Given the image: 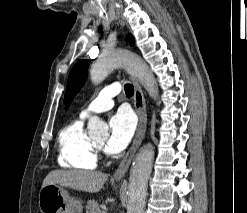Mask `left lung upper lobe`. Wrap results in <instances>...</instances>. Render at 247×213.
Returning <instances> with one entry per match:
<instances>
[{
    "label": "left lung upper lobe",
    "mask_w": 247,
    "mask_h": 213,
    "mask_svg": "<svg viewBox=\"0 0 247 213\" xmlns=\"http://www.w3.org/2000/svg\"><path fill=\"white\" fill-rule=\"evenodd\" d=\"M133 40L134 39L132 35H127L126 41L127 42L131 41L132 46L134 44ZM88 66H89L88 60H81L77 64H75L74 67L72 68L68 78L67 88L64 96L65 109H67V107L73 100L74 96L84 85L85 79L87 77Z\"/></svg>",
    "instance_id": "5c2ea615"
}]
</instances>
